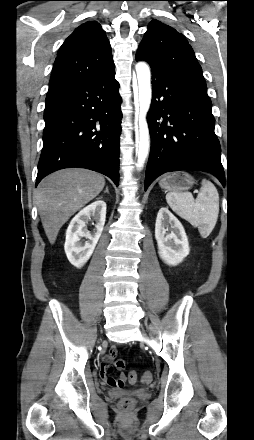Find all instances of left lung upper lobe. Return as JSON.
Returning a JSON list of instances; mask_svg holds the SVG:
<instances>
[{
	"label": "left lung upper lobe",
	"mask_w": 254,
	"mask_h": 440,
	"mask_svg": "<svg viewBox=\"0 0 254 440\" xmlns=\"http://www.w3.org/2000/svg\"><path fill=\"white\" fill-rule=\"evenodd\" d=\"M136 59L153 62L207 92L202 69L186 38L174 28L152 20L138 48Z\"/></svg>",
	"instance_id": "obj_1"
}]
</instances>
